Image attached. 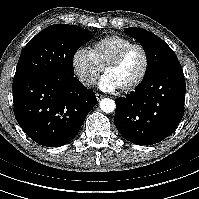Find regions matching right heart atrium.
Listing matches in <instances>:
<instances>
[{
  "label": "right heart atrium",
  "instance_id": "d8ad5b80",
  "mask_svg": "<svg viewBox=\"0 0 199 199\" xmlns=\"http://www.w3.org/2000/svg\"><path fill=\"white\" fill-rule=\"evenodd\" d=\"M72 70L79 82L86 86H92L98 79L101 69L96 65L91 53L79 47L72 55Z\"/></svg>",
  "mask_w": 199,
  "mask_h": 199
}]
</instances>
